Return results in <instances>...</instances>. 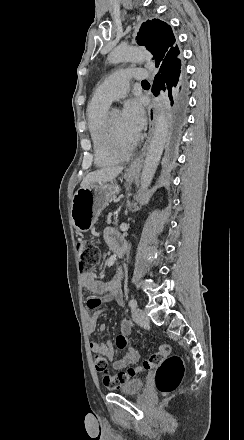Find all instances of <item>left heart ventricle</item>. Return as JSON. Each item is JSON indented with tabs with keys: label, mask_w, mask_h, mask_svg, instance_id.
<instances>
[{
	"label": "left heart ventricle",
	"mask_w": 244,
	"mask_h": 440,
	"mask_svg": "<svg viewBox=\"0 0 244 440\" xmlns=\"http://www.w3.org/2000/svg\"><path fill=\"white\" fill-rule=\"evenodd\" d=\"M111 126L116 132L113 136V143L122 142L123 139L129 137L128 131L125 128L122 112L119 110L114 111L110 117Z\"/></svg>",
	"instance_id": "1"
}]
</instances>
